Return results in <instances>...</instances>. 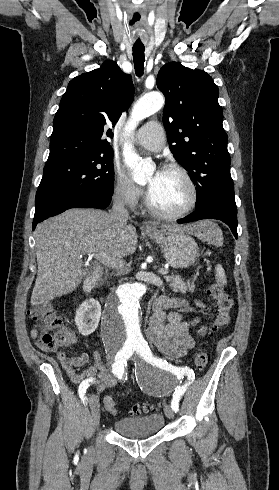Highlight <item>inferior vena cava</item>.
<instances>
[{
	"label": "inferior vena cava",
	"instance_id": "1",
	"mask_svg": "<svg viewBox=\"0 0 279 490\" xmlns=\"http://www.w3.org/2000/svg\"><path fill=\"white\" fill-rule=\"evenodd\" d=\"M112 220H117L123 226H127V222L130 218L128 210L124 204V194H119L113 200L112 210L110 212Z\"/></svg>",
	"mask_w": 279,
	"mask_h": 490
}]
</instances>
